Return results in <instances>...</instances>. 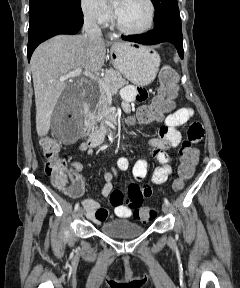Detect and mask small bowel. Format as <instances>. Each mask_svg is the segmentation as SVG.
<instances>
[{
	"label": "small bowel",
	"mask_w": 240,
	"mask_h": 288,
	"mask_svg": "<svg viewBox=\"0 0 240 288\" xmlns=\"http://www.w3.org/2000/svg\"><path fill=\"white\" fill-rule=\"evenodd\" d=\"M122 106L126 112L130 111V104L134 101H145L148 98V92L143 87L126 86L120 93ZM193 110L189 107H182L170 113L164 118L163 125L158 131V136L148 141L152 147L153 157L160 163L152 174V182L160 185L167 181L172 173V166L169 161L167 150L177 147L182 135L179 127L190 122L193 117ZM204 135V128L201 123L193 122L187 131V140L191 143L199 142ZM79 152L92 154L93 149L89 143H81L78 146ZM129 168V160L126 157H120L116 161V170L126 171ZM83 165L74 161L70 166L71 175L81 184V190L77 193L69 194L71 197H78L83 193L84 178L80 174ZM148 164L145 159H139L132 168L134 182L129 187L130 191H138L142 199L152 195V187L150 185L139 186L147 175ZM101 193L103 196H109L111 205L114 207V214L117 218H129L132 215V208L124 204V194L121 190L113 187V173L106 172L101 183ZM82 204L86 211L88 219L96 224L103 223L109 217V209L102 207L98 202L92 199H85Z\"/></svg>",
	"instance_id": "small-bowel-1"
}]
</instances>
